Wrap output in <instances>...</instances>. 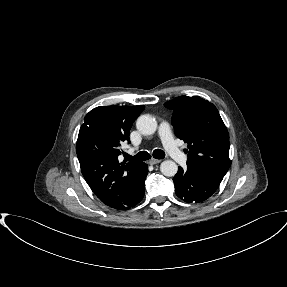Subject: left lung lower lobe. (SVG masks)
Masks as SVG:
<instances>
[{
  "label": "left lung lower lobe",
  "instance_id": "0a47b994",
  "mask_svg": "<svg viewBox=\"0 0 287 287\" xmlns=\"http://www.w3.org/2000/svg\"><path fill=\"white\" fill-rule=\"evenodd\" d=\"M222 177L198 173L179 167L173 181L176 195L188 203L208 199L219 187Z\"/></svg>",
  "mask_w": 287,
  "mask_h": 287
}]
</instances>
